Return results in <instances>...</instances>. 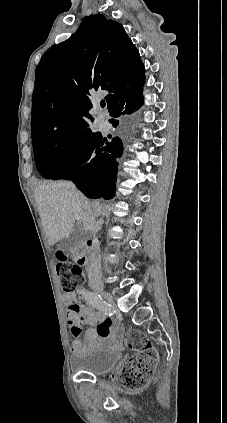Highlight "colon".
I'll use <instances>...</instances> for the list:
<instances>
[{
  "instance_id": "obj_1",
  "label": "colon",
  "mask_w": 227,
  "mask_h": 423,
  "mask_svg": "<svg viewBox=\"0 0 227 423\" xmlns=\"http://www.w3.org/2000/svg\"><path fill=\"white\" fill-rule=\"evenodd\" d=\"M57 273L65 293H72L82 280L79 266L73 265L63 256H59ZM127 345L135 353L122 367L120 378L129 388L140 390L150 382L157 361V353L145 335L138 331L128 333Z\"/></svg>"
}]
</instances>
